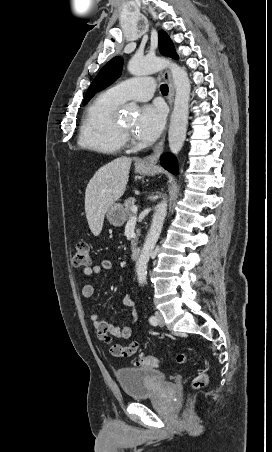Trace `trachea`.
Here are the masks:
<instances>
[{"instance_id":"obj_1","label":"trachea","mask_w":272,"mask_h":452,"mask_svg":"<svg viewBox=\"0 0 272 452\" xmlns=\"http://www.w3.org/2000/svg\"><path fill=\"white\" fill-rule=\"evenodd\" d=\"M160 90H161V93H162L163 95H167V94H168V86H167L166 84H162V85L160 86Z\"/></svg>"}]
</instances>
